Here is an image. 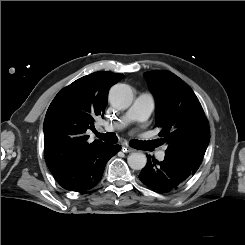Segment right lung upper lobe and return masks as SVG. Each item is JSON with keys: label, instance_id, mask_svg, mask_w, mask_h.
Wrapping results in <instances>:
<instances>
[{"label": "right lung upper lobe", "instance_id": "cb5924a9", "mask_svg": "<svg viewBox=\"0 0 245 245\" xmlns=\"http://www.w3.org/2000/svg\"><path fill=\"white\" fill-rule=\"evenodd\" d=\"M122 74L95 72L63 88L51 102L44 120V156L53 174L75 158L102 144L87 143L88 129L95 130L94 118L104 115L107 93Z\"/></svg>", "mask_w": 245, "mask_h": 245}]
</instances>
